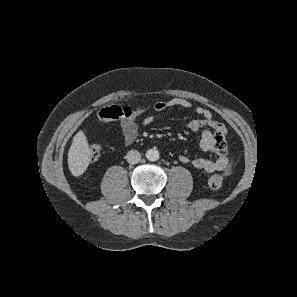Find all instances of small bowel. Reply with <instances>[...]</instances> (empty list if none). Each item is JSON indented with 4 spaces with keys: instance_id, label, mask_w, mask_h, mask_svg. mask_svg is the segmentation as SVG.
<instances>
[{
    "instance_id": "c3829d8e",
    "label": "small bowel",
    "mask_w": 297,
    "mask_h": 297,
    "mask_svg": "<svg viewBox=\"0 0 297 297\" xmlns=\"http://www.w3.org/2000/svg\"><path fill=\"white\" fill-rule=\"evenodd\" d=\"M174 107L193 109L198 115L197 118L191 119L188 122L187 128L192 132H200L199 145L201 151L208 152L212 149L214 136L217 132L225 133L224 125L214 120L208 109L194 105L189 100L172 98L167 101H158L154 104V110L157 112ZM139 119H142L144 125H149L154 121V115H145V110L138 108L135 109L131 116L121 118L120 128L126 145L132 144L137 138ZM180 160L183 163L190 164L196 170L206 173L223 171L229 166V159L225 155H220L215 160L202 157L189 158L188 156L181 155Z\"/></svg>"
}]
</instances>
